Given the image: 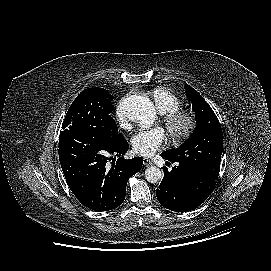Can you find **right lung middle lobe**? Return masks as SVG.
Segmentation results:
<instances>
[{
  "mask_svg": "<svg viewBox=\"0 0 271 271\" xmlns=\"http://www.w3.org/2000/svg\"><path fill=\"white\" fill-rule=\"evenodd\" d=\"M113 96L103 88L83 90L73 101L62 124L60 137L84 135L102 143H113L122 134L111 117Z\"/></svg>",
  "mask_w": 271,
  "mask_h": 271,
  "instance_id": "right-lung-middle-lobe-1",
  "label": "right lung middle lobe"
}]
</instances>
